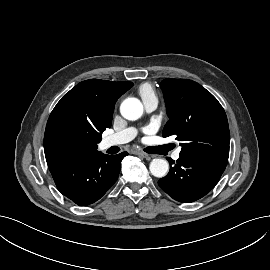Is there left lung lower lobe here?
Instances as JSON below:
<instances>
[{"mask_svg":"<svg viewBox=\"0 0 270 270\" xmlns=\"http://www.w3.org/2000/svg\"><path fill=\"white\" fill-rule=\"evenodd\" d=\"M169 162L170 171L159 179L158 184L173 199L183 203L205 196L217 184L227 165L213 159L184 155H180L176 163Z\"/></svg>","mask_w":270,"mask_h":270,"instance_id":"obj_1","label":"left lung lower lobe"}]
</instances>
